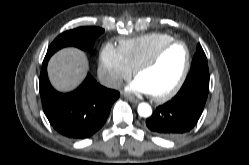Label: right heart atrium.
Segmentation results:
<instances>
[{"mask_svg": "<svg viewBox=\"0 0 249 165\" xmlns=\"http://www.w3.org/2000/svg\"><path fill=\"white\" fill-rule=\"evenodd\" d=\"M131 74L132 70L125 62L119 48L109 43L104 45L98 63V76L103 84L110 88H118Z\"/></svg>", "mask_w": 249, "mask_h": 165, "instance_id": "d8ad5b80", "label": "right heart atrium"}]
</instances>
